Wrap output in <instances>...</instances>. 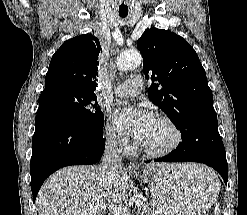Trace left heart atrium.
Masks as SVG:
<instances>
[{
	"label": "left heart atrium",
	"mask_w": 247,
	"mask_h": 215,
	"mask_svg": "<svg viewBox=\"0 0 247 215\" xmlns=\"http://www.w3.org/2000/svg\"><path fill=\"white\" fill-rule=\"evenodd\" d=\"M155 120V116L143 108L124 107L113 114L115 125L130 132L138 142L144 138Z\"/></svg>",
	"instance_id": "obj_1"
}]
</instances>
